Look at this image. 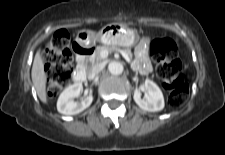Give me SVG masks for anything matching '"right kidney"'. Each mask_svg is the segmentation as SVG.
I'll list each match as a JSON object with an SVG mask.
<instances>
[{"mask_svg": "<svg viewBox=\"0 0 225 155\" xmlns=\"http://www.w3.org/2000/svg\"><path fill=\"white\" fill-rule=\"evenodd\" d=\"M81 90H82L81 83H75L67 87L58 98L57 101L58 112L65 115H75L88 108L93 101L92 95H88L82 98L80 103L74 102L73 100L74 98L79 96Z\"/></svg>", "mask_w": 225, "mask_h": 155, "instance_id": "obj_1", "label": "right kidney"}]
</instances>
